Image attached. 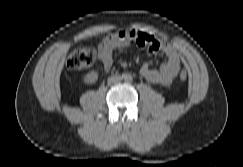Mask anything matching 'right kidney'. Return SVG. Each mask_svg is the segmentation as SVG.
I'll list each match as a JSON object with an SVG mask.
<instances>
[{"label":"right kidney","instance_id":"1","mask_svg":"<svg viewBox=\"0 0 243 167\" xmlns=\"http://www.w3.org/2000/svg\"><path fill=\"white\" fill-rule=\"evenodd\" d=\"M97 79H98V72L96 71H91L83 76V81L86 84H93L97 81Z\"/></svg>","mask_w":243,"mask_h":167}]
</instances>
